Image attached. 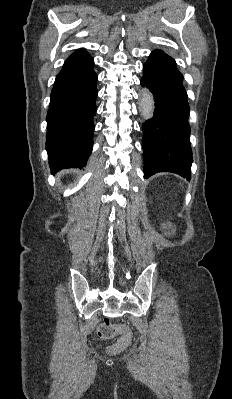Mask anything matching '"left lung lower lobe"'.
I'll use <instances>...</instances> for the list:
<instances>
[{
  "mask_svg": "<svg viewBox=\"0 0 232 399\" xmlns=\"http://www.w3.org/2000/svg\"><path fill=\"white\" fill-rule=\"evenodd\" d=\"M176 62L154 50L143 65L141 85L154 96V117L142 126L144 177L172 172L191 179L190 107Z\"/></svg>",
  "mask_w": 232,
  "mask_h": 399,
  "instance_id": "1",
  "label": "left lung lower lobe"
}]
</instances>
